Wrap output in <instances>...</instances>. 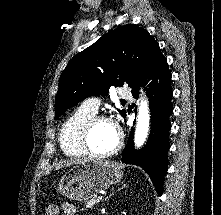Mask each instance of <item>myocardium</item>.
Listing matches in <instances>:
<instances>
[{
	"mask_svg": "<svg viewBox=\"0 0 221 215\" xmlns=\"http://www.w3.org/2000/svg\"><path fill=\"white\" fill-rule=\"evenodd\" d=\"M99 122H109L113 124L118 133V139H117L115 146L106 152H97L91 147V144H90L91 133L95 125ZM80 143H81L82 149L85 151L86 154L92 157H96V158H106V157H110L116 154L121 149L123 145V134L121 130L119 129L118 125L111 118L105 115H94L85 123L81 131Z\"/></svg>",
	"mask_w": 221,
	"mask_h": 215,
	"instance_id": "1",
	"label": "myocardium"
}]
</instances>
